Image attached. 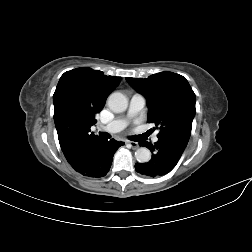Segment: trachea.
<instances>
[{
  "label": "trachea",
  "mask_w": 252,
  "mask_h": 252,
  "mask_svg": "<svg viewBox=\"0 0 252 252\" xmlns=\"http://www.w3.org/2000/svg\"><path fill=\"white\" fill-rule=\"evenodd\" d=\"M99 135L102 136V137H105V138H110V134H108L106 132H100ZM131 140L135 141V138H132Z\"/></svg>",
  "instance_id": "trachea-1"
}]
</instances>
